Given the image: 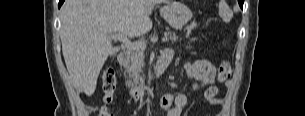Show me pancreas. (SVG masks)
I'll list each match as a JSON object with an SVG mask.
<instances>
[{
    "label": "pancreas",
    "instance_id": "obj_1",
    "mask_svg": "<svg viewBox=\"0 0 305 116\" xmlns=\"http://www.w3.org/2000/svg\"><path fill=\"white\" fill-rule=\"evenodd\" d=\"M167 36L172 43L178 39L175 33L168 32ZM144 58L145 55L142 49L129 50V61L125 64V68L136 85H143L144 83V78L141 76L142 68L145 66Z\"/></svg>",
    "mask_w": 305,
    "mask_h": 116
}]
</instances>
